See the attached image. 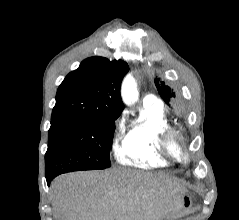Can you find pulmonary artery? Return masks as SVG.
<instances>
[{
	"instance_id": "pulmonary-artery-1",
	"label": "pulmonary artery",
	"mask_w": 239,
	"mask_h": 220,
	"mask_svg": "<svg viewBox=\"0 0 239 220\" xmlns=\"http://www.w3.org/2000/svg\"><path fill=\"white\" fill-rule=\"evenodd\" d=\"M143 104L162 106V101L159 98H157L154 94H147L143 98Z\"/></svg>"
}]
</instances>
